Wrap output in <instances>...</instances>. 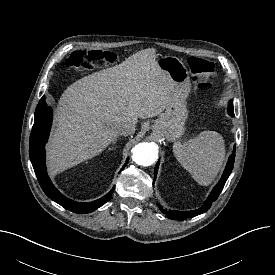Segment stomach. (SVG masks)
Instances as JSON below:
<instances>
[{
	"label": "stomach",
	"instance_id": "obj_1",
	"mask_svg": "<svg viewBox=\"0 0 275 275\" xmlns=\"http://www.w3.org/2000/svg\"><path fill=\"white\" fill-rule=\"evenodd\" d=\"M157 63L169 79L172 96L152 129L157 135L173 141L184 133L188 117L186 99L191 89L189 72L183 62L174 56H162Z\"/></svg>",
	"mask_w": 275,
	"mask_h": 275
}]
</instances>
